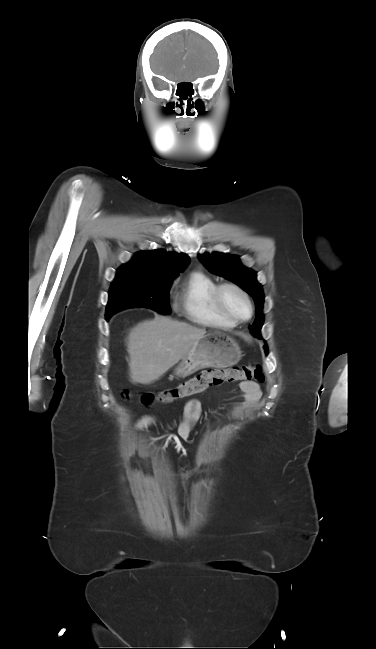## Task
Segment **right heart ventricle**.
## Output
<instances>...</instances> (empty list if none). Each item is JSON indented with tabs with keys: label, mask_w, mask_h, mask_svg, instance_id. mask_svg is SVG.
Instances as JSON below:
<instances>
[{
	"label": "right heart ventricle",
	"mask_w": 376,
	"mask_h": 649,
	"mask_svg": "<svg viewBox=\"0 0 376 649\" xmlns=\"http://www.w3.org/2000/svg\"><path fill=\"white\" fill-rule=\"evenodd\" d=\"M218 283L202 270H194L176 285L178 310L192 322L222 329H231L236 323L220 311L214 292Z\"/></svg>",
	"instance_id": "e07e8e85"
}]
</instances>
